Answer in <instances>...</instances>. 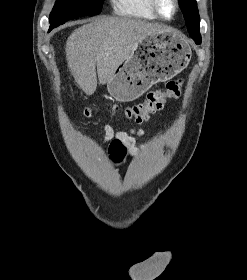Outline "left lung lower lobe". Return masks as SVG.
I'll return each instance as SVG.
<instances>
[{
	"label": "left lung lower lobe",
	"instance_id": "0a47b994",
	"mask_svg": "<svg viewBox=\"0 0 247 280\" xmlns=\"http://www.w3.org/2000/svg\"><path fill=\"white\" fill-rule=\"evenodd\" d=\"M194 40H195V42L197 43V44H200L201 43V37H195V36H191Z\"/></svg>",
	"mask_w": 247,
	"mask_h": 280
}]
</instances>
